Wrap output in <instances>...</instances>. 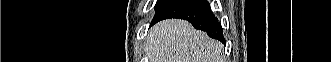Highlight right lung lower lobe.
<instances>
[{
    "label": "right lung lower lobe",
    "mask_w": 331,
    "mask_h": 62,
    "mask_svg": "<svg viewBox=\"0 0 331 62\" xmlns=\"http://www.w3.org/2000/svg\"><path fill=\"white\" fill-rule=\"evenodd\" d=\"M168 18L185 19L194 28L206 31L210 37L225 43L221 25L206 0H178L154 18L151 25Z\"/></svg>",
    "instance_id": "1"
}]
</instances>
